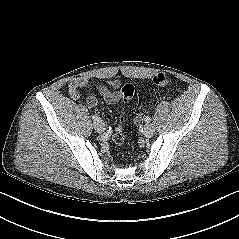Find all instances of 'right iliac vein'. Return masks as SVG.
<instances>
[{"label": "right iliac vein", "instance_id": "obj_1", "mask_svg": "<svg viewBox=\"0 0 239 239\" xmlns=\"http://www.w3.org/2000/svg\"><path fill=\"white\" fill-rule=\"evenodd\" d=\"M94 129L98 133H102L105 130V124L103 121L99 120L94 122Z\"/></svg>", "mask_w": 239, "mask_h": 239}]
</instances>
